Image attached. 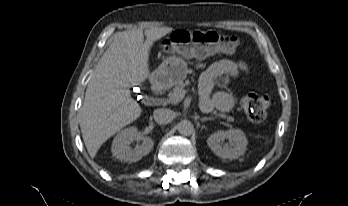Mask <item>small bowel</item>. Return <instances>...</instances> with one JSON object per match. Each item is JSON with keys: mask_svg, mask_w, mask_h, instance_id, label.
Wrapping results in <instances>:
<instances>
[{"mask_svg": "<svg viewBox=\"0 0 348 206\" xmlns=\"http://www.w3.org/2000/svg\"><path fill=\"white\" fill-rule=\"evenodd\" d=\"M247 64L242 60L221 59L212 63L201 75L199 81L200 107L204 112L214 108L228 112L234 106V96L226 90H220L212 95L216 84L226 86L231 80L248 75Z\"/></svg>", "mask_w": 348, "mask_h": 206, "instance_id": "c3829d8e", "label": "small bowel"}]
</instances>
